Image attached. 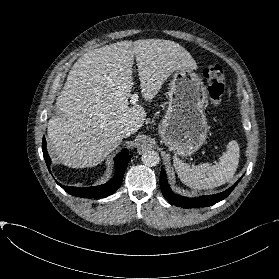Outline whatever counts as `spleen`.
<instances>
[{"instance_id": "spleen-1", "label": "spleen", "mask_w": 279, "mask_h": 279, "mask_svg": "<svg viewBox=\"0 0 279 279\" xmlns=\"http://www.w3.org/2000/svg\"><path fill=\"white\" fill-rule=\"evenodd\" d=\"M173 162L178 177L185 185L197 190L212 189L233 178L239 163V145L236 141L229 142L219 164L203 163L191 167L177 158Z\"/></svg>"}]
</instances>
